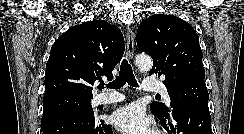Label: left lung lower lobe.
<instances>
[{"instance_id": "obj_1", "label": "left lung lower lobe", "mask_w": 244, "mask_h": 134, "mask_svg": "<svg viewBox=\"0 0 244 134\" xmlns=\"http://www.w3.org/2000/svg\"><path fill=\"white\" fill-rule=\"evenodd\" d=\"M153 113L169 134H212L211 116L208 110L188 105L172 107L171 117L173 123L169 114Z\"/></svg>"}]
</instances>
